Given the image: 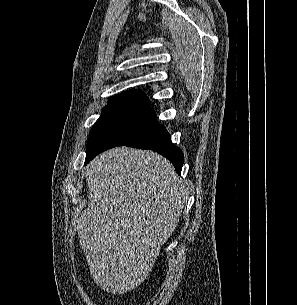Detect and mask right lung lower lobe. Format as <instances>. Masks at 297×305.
Wrapping results in <instances>:
<instances>
[{
  "mask_svg": "<svg viewBox=\"0 0 297 305\" xmlns=\"http://www.w3.org/2000/svg\"><path fill=\"white\" fill-rule=\"evenodd\" d=\"M123 145L139 149L154 150L166 157L168 160H170L174 165L176 172L178 174H181V169L184 163L183 152L180 148H178L172 143L171 136L163 125L157 124L155 127L144 133L142 136L133 139L132 141H129ZM107 149H101L94 152L88 158L85 164L90 162L96 155Z\"/></svg>",
  "mask_w": 297,
  "mask_h": 305,
  "instance_id": "obj_1",
  "label": "right lung lower lobe"
}]
</instances>
